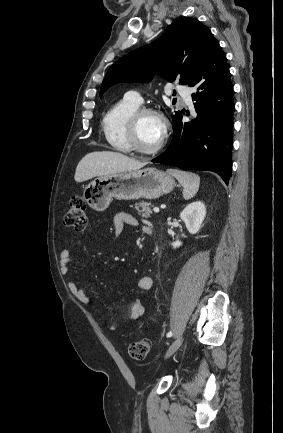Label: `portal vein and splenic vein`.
<instances>
[{"mask_svg":"<svg viewBox=\"0 0 283 433\" xmlns=\"http://www.w3.org/2000/svg\"><path fill=\"white\" fill-rule=\"evenodd\" d=\"M153 210H154V212H159L158 206H154Z\"/></svg>","mask_w":283,"mask_h":433,"instance_id":"portal-vein-and-splenic-vein-1","label":"portal vein and splenic vein"}]
</instances>
